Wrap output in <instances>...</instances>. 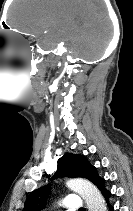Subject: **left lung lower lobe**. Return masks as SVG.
<instances>
[{
    "instance_id": "left-lung-lower-lobe-1",
    "label": "left lung lower lobe",
    "mask_w": 133,
    "mask_h": 211,
    "mask_svg": "<svg viewBox=\"0 0 133 211\" xmlns=\"http://www.w3.org/2000/svg\"><path fill=\"white\" fill-rule=\"evenodd\" d=\"M101 193L103 194V196L108 199L111 195V192L109 190H107L106 188L101 190ZM109 209L112 211L113 210V206H111V204L107 201Z\"/></svg>"
}]
</instances>
